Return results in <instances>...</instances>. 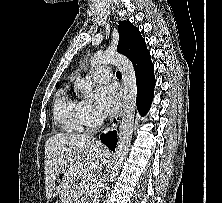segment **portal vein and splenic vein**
<instances>
[{
	"label": "portal vein and splenic vein",
	"instance_id": "18ae733b",
	"mask_svg": "<svg viewBox=\"0 0 222 203\" xmlns=\"http://www.w3.org/2000/svg\"><path fill=\"white\" fill-rule=\"evenodd\" d=\"M83 188L86 192L92 191L93 190V183L92 182H85L83 184Z\"/></svg>",
	"mask_w": 222,
	"mask_h": 203
}]
</instances>
